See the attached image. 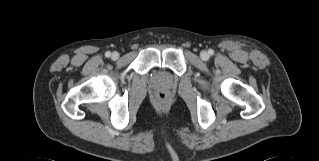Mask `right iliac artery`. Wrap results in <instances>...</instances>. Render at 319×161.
Returning a JSON list of instances; mask_svg holds the SVG:
<instances>
[{"label":"right iliac artery","mask_w":319,"mask_h":161,"mask_svg":"<svg viewBox=\"0 0 319 161\" xmlns=\"http://www.w3.org/2000/svg\"><path fill=\"white\" fill-rule=\"evenodd\" d=\"M105 56H106V57H110V56H111V52H110V51H107V52L105 53Z\"/></svg>","instance_id":"right-iliac-artery-1"}]
</instances>
